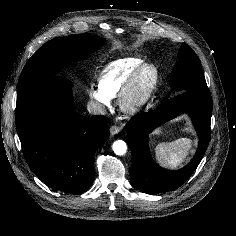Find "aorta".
Returning a JSON list of instances; mask_svg holds the SVG:
<instances>
[{"label":"aorta","instance_id":"1","mask_svg":"<svg viewBox=\"0 0 236 236\" xmlns=\"http://www.w3.org/2000/svg\"><path fill=\"white\" fill-rule=\"evenodd\" d=\"M112 149L116 155H124L127 151V144L123 140H117L113 143Z\"/></svg>","mask_w":236,"mask_h":236}]
</instances>
